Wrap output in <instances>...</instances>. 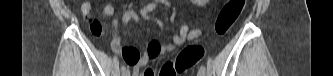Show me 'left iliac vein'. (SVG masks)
I'll list each match as a JSON object with an SVG mask.
<instances>
[{
    "label": "left iliac vein",
    "mask_w": 333,
    "mask_h": 76,
    "mask_svg": "<svg viewBox=\"0 0 333 76\" xmlns=\"http://www.w3.org/2000/svg\"><path fill=\"white\" fill-rule=\"evenodd\" d=\"M198 76H205V72H203V71H198Z\"/></svg>",
    "instance_id": "4c4485c4"
}]
</instances>
